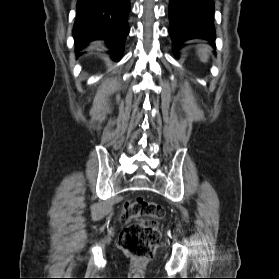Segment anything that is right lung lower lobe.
<instances>
[{
    "mask_svg": "<svg viewBox=\"0 0 279 279\" xmlns=\"http://www.w3.org/2000/svg\"><path fill=\"white\" fill-rule=\"evenodd\" d=\"M73 28L76 52L96 39L106 40L112 59L119 61L129 33L130 0H78Z\"/></svg>",
    "mask_w": 279,
    "mask_h": 279,
    "instance_id": "obj_1",
    "label": "right lung lower lobe"
}]
</instances>
